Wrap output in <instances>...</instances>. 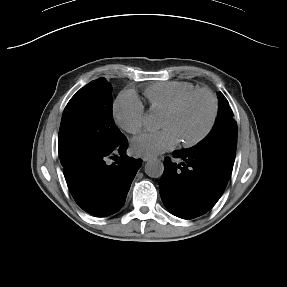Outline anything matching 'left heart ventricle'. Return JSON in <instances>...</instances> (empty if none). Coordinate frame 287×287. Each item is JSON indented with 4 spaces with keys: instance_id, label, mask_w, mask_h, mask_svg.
<instances>
[{
    "instance_id": "obj_1",
    "label": "left heart ventricle",
    "mask_w": 287,
    "mask_h": 287,
    "mask_svg": "<svg viewBox=\"0 0 287 287\" xmlns=\"http://www.w3.org/2000/svg\"><path fill=\"white\" fill-rule=\"evenodd\" d=\"M210 116V103L204 95L193 97L177 114L163 115L162 128H171L179 141L198 136L206 127Z\"/></svg>"
}]
</instances>
